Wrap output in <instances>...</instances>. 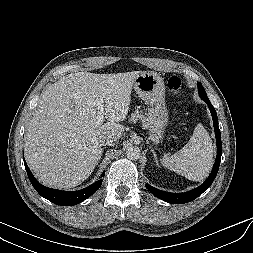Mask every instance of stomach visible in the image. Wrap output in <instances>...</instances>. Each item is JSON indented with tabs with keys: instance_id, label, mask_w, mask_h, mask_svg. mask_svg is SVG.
<instances>
[{
	"instance_id": "0dacf381",
	"label": "stomach",
	"mask_w": 253,
	"mask_h": 253,
	"mask_svg": "<svg viewBox=\"0 0 253 253\" xmlns=\"http://www.w3.org/2000/svg\"><path fill=\"white\" fill-rule=\"evenodd\" d=\"M133 85L138 96L149 106L147 128L150 139L159 143L163 139L169 120L163 78L156 72H142L136 77Z\"/></svg>"
}]
</instances>
